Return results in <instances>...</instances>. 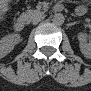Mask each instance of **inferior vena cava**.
<instances>
[{
	"label": "inferior vena cava",
	"instance_id": "obj_1",
	"mask_svg": "<svg viewBox=\"0 0 91 91\" xmlns=\"http://www.w3.org/2000/svg\"><path fill=\"white\" fill-rule=\"evenodd\" d=\"M42 19H44V16H38L33 20V24H37L38 22H40Z\"/></svg>",
	"mask_w": 91,
	"mask_h": 91
}]
</instances>
